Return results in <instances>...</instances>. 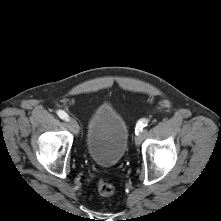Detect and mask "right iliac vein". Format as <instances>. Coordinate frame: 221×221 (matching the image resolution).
I'll list each match as a JSON object with an SVG mask.
<instances>
[{
	"mask_svg": "<svg viewBox=\"0 0 221 221\" xmlns=\"http://www.w3.org/2000/svg\"><path fill=\"white\" fill-rule=\"evenodd\" d=\"M67 125L69 127V129L74 133V134H78L79 133V125L76 122V120H74L73 118H69Z\"/></svg>",
	"mask_w": 221,
	"mask_h": 221,
	"instance_id": "right-iliac-vein-1",
	"label": "right iliac vein"
}]
</instances>
